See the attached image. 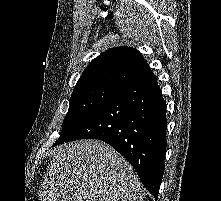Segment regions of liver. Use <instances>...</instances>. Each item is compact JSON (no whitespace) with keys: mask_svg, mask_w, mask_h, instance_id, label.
<instances>
[{"mask_svg":"<svg viewBox=\"0 0 221 201\" xmlns=\"http://www.w3.org/2000/svg\"><path fill=\"white\" fill-rule=\"evenodd\" d=\"M40 201H143L130 163L99 140L57 148L39 193Z\"/></svg>","mask_w":221,"mask_h":201,"instance_id":"liver-1","label":"liver"}]
</instances>
